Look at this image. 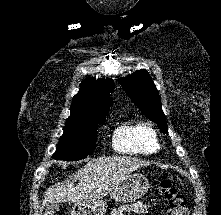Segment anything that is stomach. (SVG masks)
I'll list each match as a JSON object with an SVG mask.
<instances>
[{"label":"stomach","mask_w":221,"mask_h":215,"mask_svg":"<svg viewBox=\"0 0 221 215\" xmlns=\"http://www.w3.org/2000/svg\"><path fill=\"white\" fill-rule=\"evenodd\" d=\"M149 188L147 177L140 173L127 176L114 190L110 198L116 202L130 203L141 198ZM107 204L103 200L93 203L77 202L72 207V215H105Z\"/></svg>","instance_id":"1"}]
</instances>
